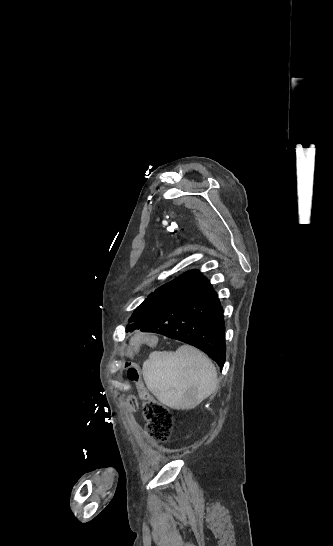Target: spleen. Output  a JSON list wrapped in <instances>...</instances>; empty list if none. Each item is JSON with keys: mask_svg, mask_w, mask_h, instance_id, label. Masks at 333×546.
I'll return each instance as SVG.
<instances>
[{"mask_svg": "<svg viewBox=\"0 0 333 546\" xmlns=\"http://www.w3.org/2000/svg\"><path fill=\"white\" fill-rule=\"evenodd\" d=\"M143 378L162 404L177 410L195 408L218 386L210 359L189 345L176 352H152L143 364Z\"/></svg>", "mask_w": 333, "mask_h": 546, "instance_id": "3e777b00", "label": "spleen"}]
</instances>
